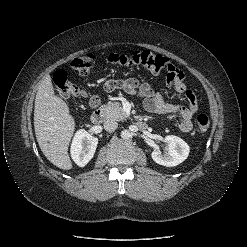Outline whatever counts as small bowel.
<instances>
[{
  "instance_id": "c3829d8e",
  "label": "small bowel",
  "mask_w": 247,
  "mask_h": 247,
  "mask_svg": "<svg viewBox=\"0 0 247 247\" xmlns=\"http://www.w3.org/2000/svg\"><path fill=\"white\" fill-rule=\"evenodd\" d=\"M175 90L184 94L188 100L186 106L173 105L167 103L163 96L153 90L147 82H140L135 78H129L125 80H109L105 83V89L107 91H113L116 89H123L128 94L137 95L142 99L144 108L155 114H171L178 117V127L184 133H189L192 130V118L198 110V102L194 92L186 86L183 78L174 81ZM100 102L97 96H94L90 100V106L96 107Z\"/></svg>"
}]
</instances>
